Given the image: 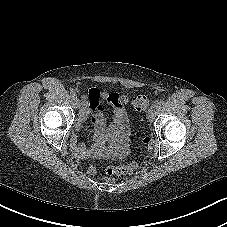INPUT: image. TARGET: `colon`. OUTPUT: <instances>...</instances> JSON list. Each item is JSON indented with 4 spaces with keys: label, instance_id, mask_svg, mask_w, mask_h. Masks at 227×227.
<instances>
[{
    "label": "colon",
    "instance_id": "1",
    "mask_svg": "<svg viewBox=\"0 0 227 227\" xmlns=\"http://www.w3.org/2000/svg\"><path fill=\"white\" fill-rule=\"evenodd\" d=\"M122 101L125 103L126 99L122 98ZM132 107H134L138 111H144L148 108L150 104V99L145 95H137L134 96L130 101ZM150 139L148 137H145L141 140V146H145L148 144ZM138 167V164L136 162H132L125 165H108L105 169L106 175L108 179H113L114 176H124V175H130L132 174ZM89 173H94L95 168L90 165L88 167Z\"/></svg>",
    "mask_w": 227,
    "mask_h": 227
}]
</instances>
